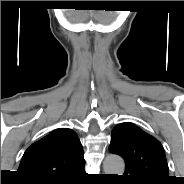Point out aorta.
I'll list each match as a JSON object with an SVG mask.
<instances>
[{"label":"aorta","mask_w":184,"mask_h":184,"mask_svg":"<svg viewBox=\"0 0 184 184\" xmlns=\"http://www.w3.org/2000/svg\"><path fill=\"white\" fill-rule=\"evenodd\" d=\"M105 174H117L122 175L125 169L124 160L114 154L108 155L103 163Z\"/></svg>","instance_id":"762f6f07"}]
</instances>
